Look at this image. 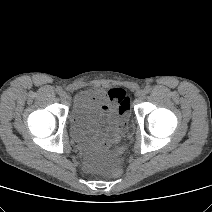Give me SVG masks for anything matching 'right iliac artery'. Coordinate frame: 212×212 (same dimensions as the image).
Instances as JSON below:
<instances>
[{
  "label": "right iliac artery",
  "mask_w": 212,
  "mask_h": 212,
  "mask_svg": "<svg viewBox=\"0 0 212 212\" xmlns=\"http://www.w3.org/2000/svg\"><path fill=\"white\" fill-rule=\"evenodd\" d=\"M61 91H62V88L58 86V87L56 88V92H57L58 94H60Z\"/></svg>",
  "instance_id": "right-iliac-artery-1"
}]
</instances>
